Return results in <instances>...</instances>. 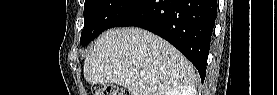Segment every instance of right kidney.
Segmentation results:
<instances>
[{
	"label": "right kidney",
	"mask_w": 277,
	"mask_h": 95,
	"mask_svg": "<svg viewBox=\"0 0 277 95\" xmlns=\"http://www.w3.org/2000/svg\"><path fill=\"white\" fill-rule=\"evenodd\" d=\"M188 90L182 89L180 87L173 88L169 92L166 93V95H189L190 93H187Z\"/></svg>",
	"instance_id": "ca27d5eb"
}]
</instances>
